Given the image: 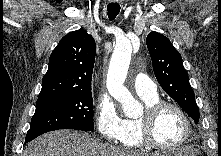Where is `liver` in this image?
I'll list each match as a JSON object with an SVG mask.
<instances>
[{"label": "liver", "mask_w": 221, "mask_h": 156, "mask_svg": "<svg viewBox=\"0 0 221 156\" xmlns=\"http://www.w3.org/2000/svg\"><path fill=\"white\" fill-rule=\"evenodd\" d=\"M185 154H195L189 148ZM23 156H149L147 153L103 144L88 134L74 130H57L46 133L30 142Z\"/></svg>", "instance_id": "liver-1"}]
</instances>
